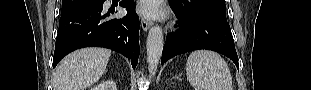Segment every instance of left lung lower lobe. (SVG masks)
<instances>
[{"instance_id": "obj_1", "label": "left lung lower lobe", "mask_w": 311, "mask_h": 90, "mask_svg": "<svg viewBox=\"0 0 311 90\" xmlns=\"http://www.w3.org/2000/svg\"><path fill=\"white\" fill-rule=\"evenodd\" d=\"M173 9V8H172ZM182 22V30L167 34L161 64L170 58L193 50L208 49L229 57L237 67L238 57L227 22L207 15H183L173 9Z\"/></svg>"}]
</instances>
